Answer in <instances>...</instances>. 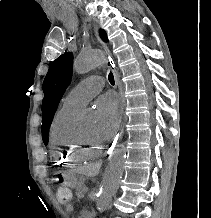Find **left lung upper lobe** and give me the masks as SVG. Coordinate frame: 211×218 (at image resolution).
I'll return each mask as SVG.
<instances>
[{"label": "left lung upper lobe", "mask_w": 211, "mask_h": 218, "mask_svg": "<svg viewBox=\"0 0 211 218\" xmlns=\"http://www.w3.org/2000/svg\"><path fill=\"white\" fill-rule=\"evenodd\" d=\"M103 40H107L103 30L100 31ZM73 56L65 53L50 65L43 82L44 99L42 103V137L44 144L48 143L49 128L52 123L58 103L68 87L72 76Z\"/></svg>", "instance_id": "5c2ea615"}]
</instances>
